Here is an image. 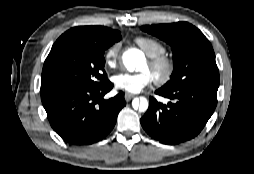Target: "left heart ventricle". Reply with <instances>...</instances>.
Masks as SVG:
<instances>
[{"mask_svg":"<svg viewBox=\"0 0 254 174\" xmlns=\"http://www.w3.org/2000/svg\"><path fill=\"white\" fill-rule=\"evenodd\" d=\"M143 71H148L152 76L153 78L158 74L160 73V71H154L153 69H151L148 65V63L146 62L142 68Z\"/></svg>","mask_w":254,"mask_h":174,"instance_id":"obj_1","label":"left heart ventricle"}]
</instances>
